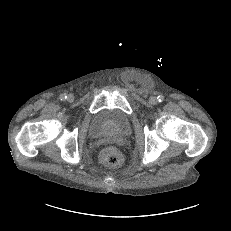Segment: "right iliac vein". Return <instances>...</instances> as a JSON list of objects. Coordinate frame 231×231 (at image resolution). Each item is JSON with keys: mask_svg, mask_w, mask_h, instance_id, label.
<instances>
[{"mask_svg": "<svg viewBox=\"0 0 231 231\" xmlns=\"http://www.w3.org/2000/svg\"><path fill=\"white\" fill-rule=\"evenodd\" d=\"M73 100V96L72 95H68V101H72Z\"/></svg>", "mask_w": 231, "mask_h": 231, "instance_id": "63e3f726", "label": "right iliac vein"}]
</instances>
